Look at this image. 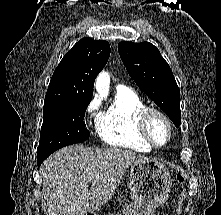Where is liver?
Masks as SVG:
<instances>
[{"label":"liver","instance_id":"obj_1","mask_svg":"<svg viewBox=\"0 0 221 215\" xmlns=\"http://www.w3.org/2000/svg\"><path fill=\"white\" fill-rule=\"evenodd\" d=\"M147 160L119 148L73 145L57 151L40 168L47 215H86L100 209L114 195L126 169Z\"/></svg>","mask_w":221,"mask_h":215}]
</instances>
